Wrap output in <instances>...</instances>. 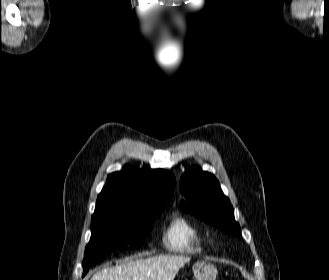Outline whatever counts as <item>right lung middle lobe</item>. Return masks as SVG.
<instances>
[{
	"mask_svg": "<svg viewBox=\"0 0 329 280\" xmlns=\"http://www.w3.org/2000/svg\"><path fill=\"white\" fill-rule=\"evenodd\" d=\"M168 201H155L147 207L116 201L96 205L91 220L92 235L84 254L83 276L106 253L143 242Z\"/></svg>",
	"mask_w": 329,
	"mask_h": 280,
	"instance_id": "obj_1",
	"label": "right lung middle lobe"
}]
</instances>
